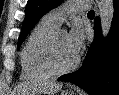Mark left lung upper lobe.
Listing matches in <instances>:
<instances>
[{
  "label": "left lung upper lobe",
  "instance_id": "1",
  "mask_svg": "<svg viewBox=\"0 0 119 95\" xmlns=\"http://www.w3.org/2000/svg\"><path fill=\"white\" fill-rule=\"evenodd\" d=\"M63 0H28L22 31L18 39V48L40 18L57 7Z\"/></svg>",
  "mask_w": 119,
  "mask_h": 95
}]
</instances>
